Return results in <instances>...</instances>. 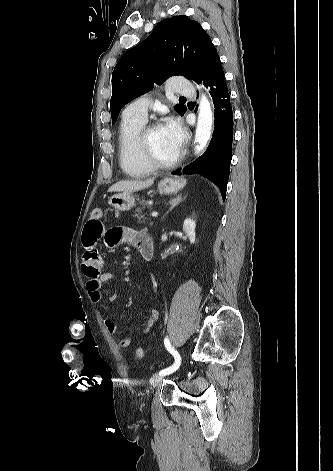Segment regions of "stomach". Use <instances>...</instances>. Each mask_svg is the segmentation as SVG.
<instances>
[{"label":"stomach","mask_w":333,"mask_h":471,"mask_svg":"<svg viewBox=\"0 0 333 471\" xmlns=\"http://www.w3.org/2000/svg\"><path fill=\"white\" fill-rule=\"evenodd\" d=\"M186 185L184 179L164 178L158 183V190L163 195L175 194ZM109 204L119 211H128L135 205V197L130 192L113 195Z\"/></svg>","instance_id":"stomach-1"}]
</instances>
